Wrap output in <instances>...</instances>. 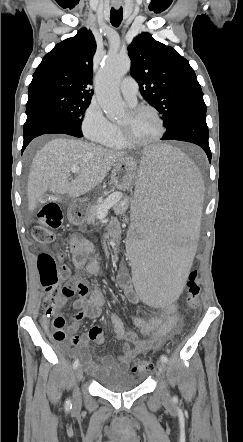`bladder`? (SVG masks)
I'll list each match as a JSON object with an SVG mask.
<instances>
[{
	"label": "bladder",
	"mask_w": 243,
	"mask_h": 442,
	"mask_svg": "<svg viewBox=\"0 0 243 442\" xmlns=\"http://www.w3.org/2000/svg\"><path fill=\"white\" fill-rule=\"evenodd\" d=\"M96 382L102 388L112 392H125L141 384V380L129 371H110L96 376Z\"/></svg>",
	"instance_id": "obj_1"
}]
</instances>
